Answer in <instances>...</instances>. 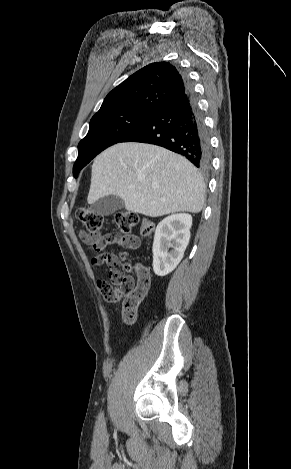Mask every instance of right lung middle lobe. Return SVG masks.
I'll use <instances>...</instances> for the list:
<instances>
[{"label": "right lung middle lobe", "instance_id": "obj_1", "mask_svg": "<svg viewBox=\"0 0 291 469\" xmlns=\"http://www.w3.org/2000/svg\"><path fill=\"white\" fill-rule=\"evenodd\" d=\"M153 112L132 109L92 118L88 134L78 145L79 155L73 167L74 177H77L79 171L97 154L120 142L141 126Z\"/></svg>", "mask_w": 291, "mask_h": 469}]
</instances>
